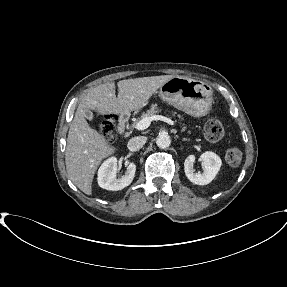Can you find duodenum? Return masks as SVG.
Masks as SVG:
<instances>
[{
  "label": "duodenum",
  "mask_w": 287,
  "mask_h": 287,
  "mask_svg": "<svg viewBox=\"0 0 287 287\" xmlns=\"http://www.w3.org/2000/svg\"><path fill=\"white\" fill-rule=\"evenodd\" d=\"M127 123H128V116L126 114H122L119 119V124H118V131L119 134H123L127 128Z\"/></svg>",
  "instance_id": "duodenum-1"
}]
</instances>
